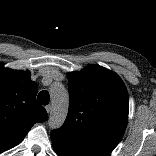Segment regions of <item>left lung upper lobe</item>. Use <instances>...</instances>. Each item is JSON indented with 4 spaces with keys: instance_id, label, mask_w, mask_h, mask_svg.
Wrapping results in <instances>:
<instances>
[{
    "instance_id": "left-lung-upper-lobe-1",
    "label": "left lung upper lobe",
    "mask_w": 156,
    "mask_h": 156,
    "mask_svg": "<svg viewBox=\"0 0 156 156\" xmlns=\"http://www.w3.org/2000/svg\"><path fill=\"white\" fill-rule=\"evenodd\" d=\"M69 110L65 123L52 132L69 142L108 156L126 129L129 97L121 78L98 66L68 74Z\"/></svg>"
}]
</instances>
